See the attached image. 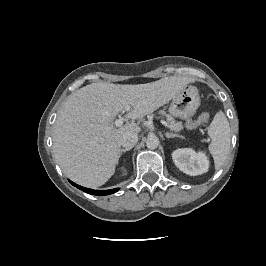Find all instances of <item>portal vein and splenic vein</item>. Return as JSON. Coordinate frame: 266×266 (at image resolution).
<instances>
[{
    "label": "portal vein and splenic vein",
    "instance_id": "1",
    "mask_svg": "<svg viewBox=\"0 0 266 266\" xmlns=\"http://www.w3.org/2000/svg\"><path fill=\"white\" fill-rule=\"evenodd\" d=\"M131 110V107L130 106H126L124 111L123 112H128ZM124 123V118L119 116L118 119L115 120L114 124L116 127H121ZM161 123L166 127L168 128V124L165 122V121H161Z\"/></svg>",
    "mask_w": 266,
    "mask_h": 266
}]
</instances>
